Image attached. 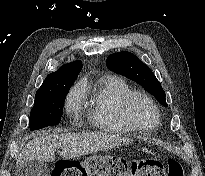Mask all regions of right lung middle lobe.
<instances>
[{
    "instance_id": "obj_1",
    "label": "right lung middle lobe",
    "mask_w": 205,
    "mask_h": 176,
    "mask_svg": "<svg viewBox=\"0 0 205 176\" xmlns=\"http://www.w3.org/2000/svg\"><path fill=\"white\" fill-rule=\"evenodd\" d=\"M70 87H64L56 92L35 97V104L30 113V131L51 125H57L63 114L65 97Z\"/></svg>"
}]
</instances>
